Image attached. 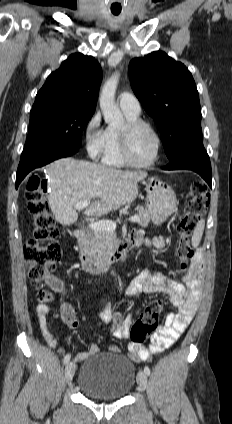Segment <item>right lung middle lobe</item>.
Here are the masks:
<instances>
[{
  "label": "right lung middle lobe",
  "mask_w": 232,
  "mask_h": 424,
  "mask_svg": "<svg viewBox=\"0 0 232 424\" xmlns=\"http://www.w3.org/2000/svg\"><path fill=\"white\" fill-rule=\"evenodd\" d=\"M94 111L74 106H46L30 112L22 156L43 146L81 147L82 131Z\"/></svg>",
  "instance_id": "obj_1"
}]
</instances>
